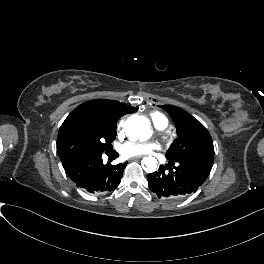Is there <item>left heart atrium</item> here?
I'll use <instances>...</instances> for the list:
<instances>
[{
    "mask_svg": "<svg viewBox=\"0 0 264 264\" xmlns=\"http://www.w3.org/2000/svg\"><path fill=\"white\" fill-rule=\"evenodd\" d=\"M124 154H128L129 152L128 151H125V152H123ZM133 153V152H132Z\"/></svg>",
    "mask_w": 264,
    "mask_h": 264,
    "instance_id": "1",
    "label": "left heart atrium"
}]
</instances>
